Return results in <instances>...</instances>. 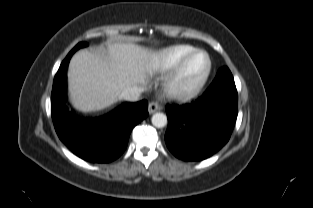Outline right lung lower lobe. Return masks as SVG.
<instances>
[{"mask_svg":"<svg viewBox=\"0 0 313 208\" xmlns=\"http://www.w3.org/2000/svg\"><path fill=\"white\" fill-rule=\"evenodd\" d=\"M75 51L67 55L54 78L51 95L54 127L60 140L78 157L90 162H110L125 151L132 129L148 115V103L146 100L126 102L96 118L79 117L69 112L63 97L67 66Z\"/></svg>","mask_w":313,"mask_h":208,"instance_id":"obj_1","label":"right lung lower lobe"}]
</instances>
